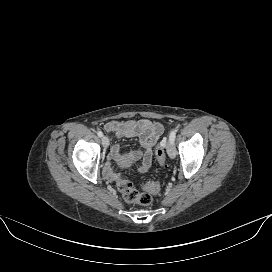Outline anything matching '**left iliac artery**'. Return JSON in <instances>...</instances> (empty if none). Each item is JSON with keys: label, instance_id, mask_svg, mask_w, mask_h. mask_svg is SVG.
Listing matches in <instances>:
<instances>
[{"label": "left iliac artery", "instance_id": "1", "mask_svg": "<svg viewBox=\"0 0 272 272\" xmlns=\"http://www.w3.org/2000/svg\"><path fill=\"white\" fill-rule=\"evenodd\" d=\"M177 129H173L169 135L170 141L174 142L176 137Z\"/></svg>", "mask_w": 272, "mask_h": 272}]
</instances>
